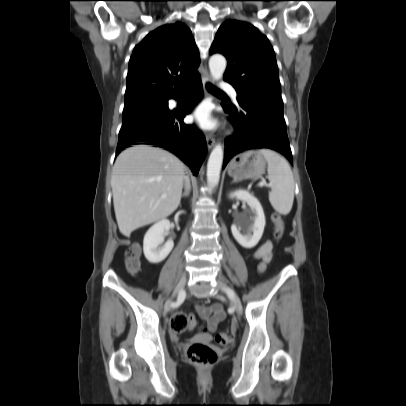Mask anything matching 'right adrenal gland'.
<instances>
[{"label":"right adrenal gland","instance_id":"2a0ac1e0","mask_svg":"<svg viewBox=\"0 0 406 406\" xmlns=\"http://www.w3.org/2000/svg\"><path fill=\"white\" fill-rule=\"evenodd\" d=\"M191 191V186L189 184L188 188L185 190V192L181 195V197H188Z\"/></svg>","mask_w":406,"mask_h":406}]
</instances>
